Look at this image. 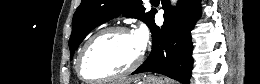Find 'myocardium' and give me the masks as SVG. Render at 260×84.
<instances>
[{
    "label": "myocardium",
    "instance_id": "f54148a6",
    "mask_svg": "<svg viewBox=\"0 0 260 84\" xmlns=\"http://www.w3.org/2000/svg\"><path fill=\"white\" fill-rule=\"evenodd\" d=\"M108 32H121V33H125V34H133L132 30L130 28H128L127 26L124 25H110V26H106L103 27L101 29H99L98 31H96L94 34H92L87 41L85 42V44L83 45L78 58H77V64H76V70H77V74L80 77V79H82L85 82L88 83H105V82H109L115 79H119L122 78L126 75H129L130 73L134 72L144 61V51H140L138 57L136 58V60L125 70L119 72V73H115V74H111L102 78H98V79H89L87 78L84 74H83V62H84V58L89 50V48L91 47V45L93 44V42L101 35L108 33Z\"/></svg>",
    "mask_w": 260,
    "mask_h": 84
}]
</instances>
